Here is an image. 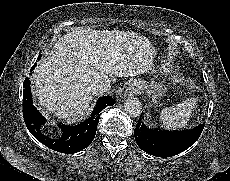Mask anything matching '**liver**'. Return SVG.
<instances>
[{
  "mask_svg": "<svg viewBox=\"0 0 230 181\" xmlns=\"http://www.w3.org/2000/svg\"><path fill=\"white\" fill-rule=\"evenodd\" d=\"M154 53L150 42L134 33L69 32L36 68L33 95L46 115L77 120L93 100L95 82L142 74L149 70Z\"/></svg>",
  "mask_w": 230,
  "mask_h": 181,
  "instance_id": "liver-1",
  "label": "liver"
}]
</instances>
